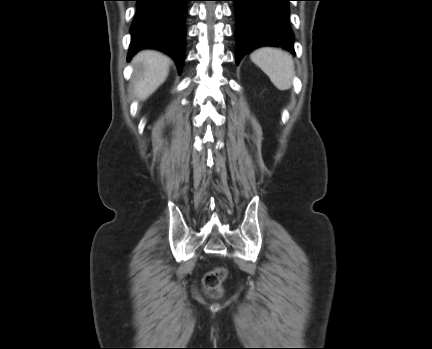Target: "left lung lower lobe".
<instances>
[{
    "instance_id": "0a47b994",
    "label": "left lung lower lobe",
    "mask_w": 432,
    "mask_h": 349,
    "mask_svg": "<svg viewBox=\"0 0 432 349\" xmlns=\"http://www.w3.org/2000/svg\"><path fill=\"white\" fill-rule=\"evenodd\" d=\"M236 17V63L262 46H281L291 53L293 34L289 26L290 0H232Z\"/></svg>"
}]
</instances>
